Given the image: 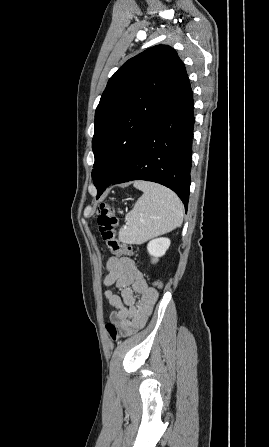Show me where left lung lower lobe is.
Instances as JSON below:
<instances>
[{
	"mask_svg": "<svg viewBox=\"0 0 269 447\" xmlns=\"http://www.w3.org/2000/svg\"><path fill=\"white\" fill-rule=\"evenodd\" d=\"M193 107V93L184 67L161 118L147 131L122 173L109 185L97 189V197L111 184L146 180L172 189L187 210L194 128Z\"/></svg>",
	"mask_w": 269,
	"mask_h": 447,
	"instance_id": "0a47b994",
	"label": "left lung lower lobe"
}]
</instances>
